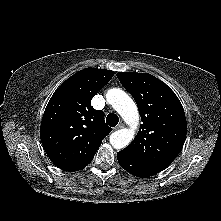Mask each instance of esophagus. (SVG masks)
Segmentation results:
<instances>
[{
    "mask_svg": "<svg viewBox=\"0 0 221 221\" xmlns=\"http://www.w3.org/2000/svg\"><path fill=\"white\" fill-rule=\"evenodd\" d=\"M123 127H124V124L120 123L114 128V130H119V129H122Z\"/></svg>",
    "mask_w": 221,
    "mask_h": 221,
    "instance_id": "obj_1",
    "label": "esophagus"
}]
</instances>
